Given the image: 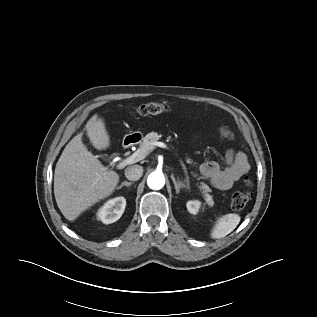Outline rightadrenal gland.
<instances>
[{
  "instance_id": "right-adrenal-gland-1",
  "label": "right adrenal gland",
  "mask_w": 317,
  "mask_h": 317,
  "mask_svg": "<svg viewBox=\"0 0 317 317\" xmlns=\"http://www.w3.org/2000/svg\"><path fill=\"white\" fill-rule=\"evenodd\" d=\"M132 184H133L132 182L124 181L119 187H117V189H121L123 186L129 187Z\"/></svg>"
}]
</instances>
